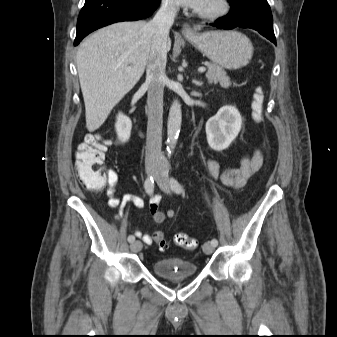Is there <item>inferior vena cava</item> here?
<instances>
[{
	"label": "inferior vena cava",
	"instance_id": "obj_1",
	"mask_svg": "<svg viewBox=\"0 0 337 337\" xmlns=\"http://www.w3.org/2000/svg\"><path fill=\"white\" fill-rule=\"evenodd\" d=\"M178 5L162 0L161 7L154 18L147 23V30L153 34L149 55L146 84L148 86V125L146 142V163L163 160L162 125H163V91L166 79L167 41L169 30L174 23Z\"/></svg>",
	"mask_w": 337,
	"mask_h": 337
}]
</instances>
